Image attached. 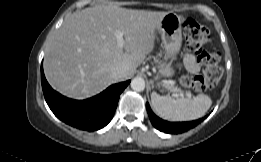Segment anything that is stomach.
Wrapping results in <instances>:
<instances>
[{"label":"stomach","mask_w":261,"mask_h":162,"mask_svg":"<svg viewBox=\"0 0 261 162\" xmlns=\"http://www.w3.org/2000/svg\"><path fill=\"white\" fill-rule=\"evenodd\" d=\"M182 19L176 13L168 12L161 20L157 31L161 34L165 48L166 59L170 62H162L159 66V73L163 76H172L174 68L172 62L176 59L182 44Z\"/></svg>","instance_id":"1"}]
</instances>
